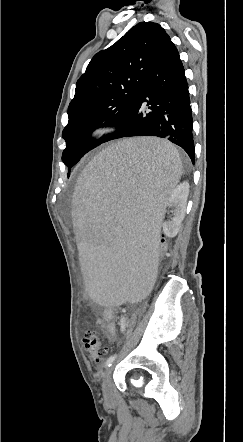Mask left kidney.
<instances>
[{
    "label": "left kidney",
    "mask_w": 243,
    "mask_h": 442,
    "mask_svg": "<svg viewBox=\"0 0 243 442\" xmlns=\"http://www.w3.org/2000/svg\"><path fill=\"white\" fill-rule=\"evenodd\" d=\"M188 193L189 185L184 182L172 191L164 204L173 208L171 221L162 224L163 232L167 233L169 238L175 237L180 230L181 222L185 217Z\"/></svg>",
    "instance_id": "left-kidney-1"
}]
</instances>
